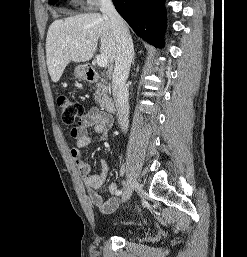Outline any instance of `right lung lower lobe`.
Listing matches in <instances>:
<instances>
[{
  "label": "right lung lower lobe",
  "instance_id": "98d812e1",
  "mask_svg": "<svg viewBox=\"0 0 247 257\" xmlns=\"http://www.w3.org/2000/svg\"><path fill=\"white\" fill-rule=\"evenodd\" d=\"M113 3L139 37L155 47L163 46L165 0H113Z\"/></svg>",
  "mask_w": 247,
  "mask_h": 257
}]
</instances>
